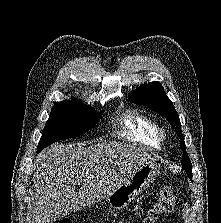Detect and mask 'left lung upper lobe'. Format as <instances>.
Listing matches in <instances>:
<instances>
[{"label": "left lung upper lobe", "instance_id": "left-lung-upper-lobe-1", "mask_svg": "<svg viewBox=\"0 0 221 223\" xmlns=\"http://www.w3.org/2000/svg\"><path fill=\"white\" fill-rule=\"evenodd\" d=\"M130 101L151 108L165 117L167 121L176 127V133L180 137V146L184 151L182 155V166L184 167L189 179L192 181V167L188 154L185 149V142L181 132V124L174 105L166 96L162 85L159 82H150L143 84L132 91L129 95Z\"/></svg>", "mask_w": 221, "mask_h": 223}]
</instances>
